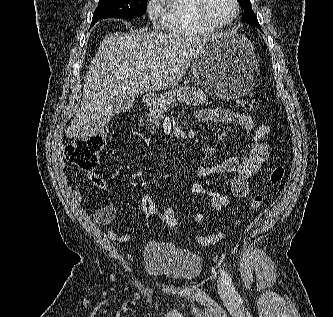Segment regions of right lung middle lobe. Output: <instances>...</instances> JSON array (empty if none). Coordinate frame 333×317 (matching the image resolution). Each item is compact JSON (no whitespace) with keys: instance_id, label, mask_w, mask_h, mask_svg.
I'll return each instance as SVG.
<instances>
[{"instance_id":"right-lung-middle-lobe-1","label":"right lung middle lobe","mask_w":333,"mask_h":317,"mask_svg":"<svg viewBox=\"0 0 333 317\" xmlns=\"http://www.w3.org/2000/svg\"><path fill=\"white\" fill-rule=\"evenodd\" d=\"M147 0H100L93 14L91 26L104 18H125L143 15Z\"/></svg>"}]
</instances>
